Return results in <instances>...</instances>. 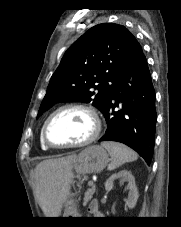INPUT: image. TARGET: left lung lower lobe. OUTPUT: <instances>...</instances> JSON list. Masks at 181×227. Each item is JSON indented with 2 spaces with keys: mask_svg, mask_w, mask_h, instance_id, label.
Masks as SVG:
<instances>
[{
  "mask_svg": "<svg viewBox=\"0 0 181 227\" xmlns=\"http://www.w3.org/2000/svg\"><path fill=\"white\" fill-rule=\"evenodd\" d=\"M120 106L121 110L115 111ZM107 130L100 141H117L134 149L150 165L155 145V90L141 46L117 82L103 113Z\"/></svg>",
  "mask_w": 181,
  "mask_h": 227,
  "instance_id": "0a47b994",
  "label": "left lung lower lobe"
}]
</instances>
